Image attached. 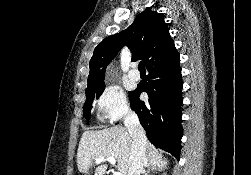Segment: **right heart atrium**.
I'll return each mask as SVG.
<instances>
[{
	"label": "right heart atrium",
	"instance_id": "right-heart-atrium-1",
	"mask_svg": "<svg viewBox=\"0 0 251 175\" xmlns=\"http://www.w3.org/2000/svg\"><path fill=\"white\" fill-rule=\"evenodd\" d=\"M97 117L101 122H114L124 116L128 110V101L124 90L110 76L94 101Z\"/></svg>",
	"mask_w": 251,
	"mask_h": 175
}]
</instances>
